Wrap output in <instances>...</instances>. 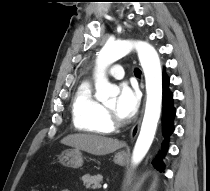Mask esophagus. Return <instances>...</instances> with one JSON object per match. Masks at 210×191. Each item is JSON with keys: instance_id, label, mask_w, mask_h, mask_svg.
<instances>
[{"instance_id": "34e87169", "label": "esophagus", "mask_w": 210, "mask_h": 191, "mask_svg": "<svg viewBox=\"0 0 210 191\" xmlns=\"http://www.w3.org/2000/svg\"><path fill=\"white\" fill-rule=\"evenodd\" d=\"M140 123H141V118L137 121V123L132 127L131 129V140H134L139 132V128H140Z\"/></svg>"}]
</instances>
